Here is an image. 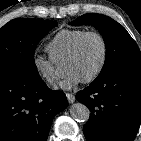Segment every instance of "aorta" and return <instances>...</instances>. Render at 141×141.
<instances>
[{"label":"aorta","instance_id":"aorta-1","mask_svg":"<svg viewBox=\"0 0 141 141\" xmlns=\"http://www.w3.org/2000/svg\"><path fill=\"white\" fill-rule=\"evenodd\" d=\"M70 115L78 122H86L90 117V110L82 103H74L70 107Z\"/></svg>","mask_w":141,"mask_h":141}]
</instances>
